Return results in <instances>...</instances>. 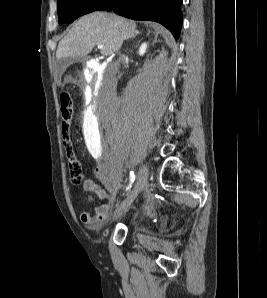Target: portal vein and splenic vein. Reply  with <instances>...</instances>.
Listing matches in <instances>:
<instances>
[{
	"label": "portal vein and splenic vein",
	"mask_w": 267,
	"mask_h": 298,
	"mask_svg": "<svg viewBox=\"0 0 267 298\" xmlns=\"http://www.w3.org/2000/svg\"><path fill=\"white\" fill-rule=\"evenodd\" d=\"M103 47H104V46L101 45V44H100V45H97V48H98V49H103Z\"/></svg>",
	"instance_id": "obj_1"
}]
</instances>
